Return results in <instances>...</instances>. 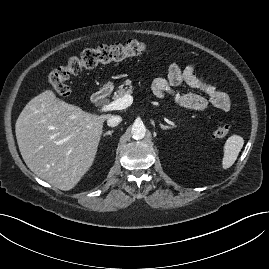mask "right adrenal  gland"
Here are the masks:
<instances>
[{"label": "right adrenal gland", "instance_id": "obj_1", "mask_svg": "<svg viewBox=\"0 0 269 269\" xmlns=\"http://www.w3.org/2000/svg\"><path fill=\"white\" fill-rule=\"evenodd\" d=\"M113 130H111V131H107L106 133H104V136H112V134H113Z\"/></svg>", "mask_w": 269, "mask_h": 269}]
</instances>
